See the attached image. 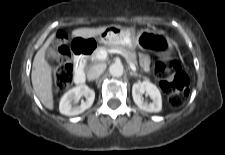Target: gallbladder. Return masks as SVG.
I'll list each match as a JSON object with an SVG mask.
<instances>
[{
  "instance_id": "1",
  "label": "gallbladder",
  "mask_w": 225,
  "mask_h": 155,
  "mask_svg": "<svg viewBox=\"0 0 225 155\" xmlns=\"http://www.w3.org/2000/svg\"><path fill=\"white\" fill-rule=\"evenodd\" d=\"M48 56H49L51 59L57 60V59H59L60 54H59V52L56 51L55 49L49 48V49H48Z\"/></svg>"
}]
</instances>
